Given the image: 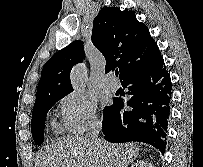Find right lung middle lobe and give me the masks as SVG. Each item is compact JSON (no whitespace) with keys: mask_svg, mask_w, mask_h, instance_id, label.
<instances>
[{"mask_svg":"<svg viewBox=\"0 0 203 167\" xmlns=\"http://www.w3.org/2000/svg\"><path fill=\"white\" fill-rule=\"evenodd\" d=\"M62 97H54L47 99L33 108L32 120H31V131L33 140L37 145H41L44 141V126L45 119L49 109ZM109 107H105L103 115L108 111Z\"/></svg>","mask_w":203,"mask_h":167,"instance_id":"1","label":"right lung middle lobe"}]
</instances>
